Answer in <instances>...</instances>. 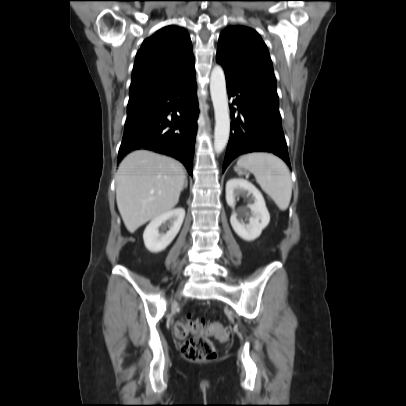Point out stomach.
<instances>
[{
    "label": "stomach",
    "mask_w": 406,
    "mask_h": 406,
    "mask_svg": "<svg viewBox=\"0 0 406 406\" xmlns=\"http://www.w3.org/2000/svg\"><path fill=\"white\" fill-rule=\"evenodd\" d=\"M234 169H235V171H236L238 174H243V173H245V168L242 167V166H240V165H237Z\"/></svg>",
    "instance_id": "obj_1"
}]
</instances>
